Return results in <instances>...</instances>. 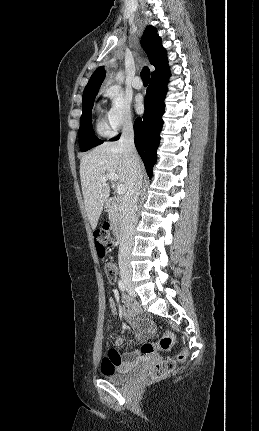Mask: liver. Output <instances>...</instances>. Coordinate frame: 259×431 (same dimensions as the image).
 Returning a JSON list of instances; mask_svg holds the SVG:
<instances>
[{"label":"liver","mask_w":259,"mask_h":431,"mask_svg":"<svg viewBox=\"0 0 259 431\" xmlns=\"http://www.w3.org/2000/svg\"><path fill=\"white\" fill-rule=\"evenodd\" d=\"M140 166L143 170L141 163ZM110 172L118 175L119 185H124L128 191L131 176L119 142H105L81 158V187L85 210L93 230L97 227L103 206L110 195L109 183L101 182L100 178Z\"/></svg>","instance_id":"6515ba94"}]
</instances>
